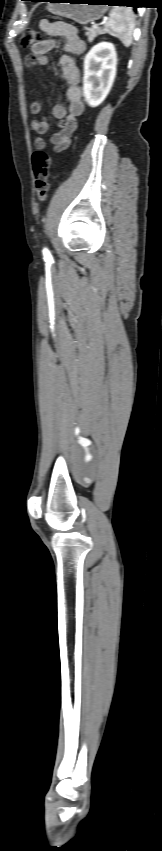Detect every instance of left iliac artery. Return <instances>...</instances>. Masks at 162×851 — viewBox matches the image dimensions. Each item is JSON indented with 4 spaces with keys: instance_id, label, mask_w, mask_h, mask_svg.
Returning a JSON list of instances; mask_svg holds the SVG:
<instances>
[{
    "instance_id": "1",
    "label": "left iliac artery",
    "mask_w": 162,
    "mask_h": 851,
    "mask_svg": "<svg viewBox=\"0 0 162 851\" xmlns=\"http://www.w3.org/2000/svg\"><path fill=\"white\" fill-rule=\"evenodd\" d=\"M43 255H44L45 258L51 257L50 252L47 248L43 249Z\"/></svg>"
}]
</instances>
